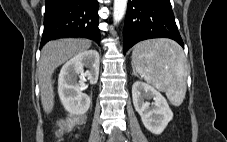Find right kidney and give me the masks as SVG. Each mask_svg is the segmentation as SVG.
<instances>
[{"mask_svg": "<svg viewBox=\"0 0 227 142\" xmlns=\"http://www.w3.org/2000/svg\"><path fill=\"white\" fill-rule=\"evenodd\" d=\"M99 60V53L96 50H87L71 58L62 67L58 78V94L64 108L70 114L83 115L90 108L91 99L82 93V90L85 86V77L90 84L97 83ZM84 67L88 68L86 72Z\"/></svg>", "mask_w": 227, "mask_h": 142, "instance_id": "obj_1", "label": "right kidney"}]
</instances>
